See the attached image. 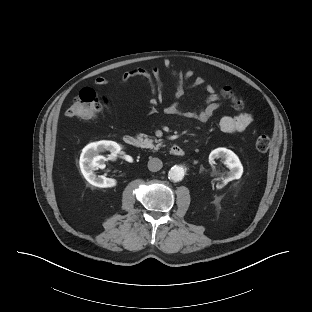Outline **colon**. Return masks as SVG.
I'll return each mask as SVG.
<instances>
[{
    "label": "colon",
    "instance_id": "1",
    "mask_svg": "<svg viewBox=\"0 0 312 312\" xmlns=\"http://www.w3.org/2000/svg\"><path fill=\"white\" fill-rule=\"evenodd\" d=\"M223 94L232 102L234 108L238 111L244 109L243 101L232 91L231 88H224ZM105 101L95 94L90 88L82 89L73 103L67 109V116L81 120H93L102 111ZM271 139L268 135H260L255 141V147L259 152H265L269 149Z\"/></svg>",
    "mask_w": 312,
    "mask_h": 312
}]
</instances>
